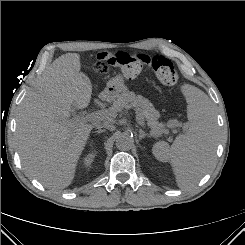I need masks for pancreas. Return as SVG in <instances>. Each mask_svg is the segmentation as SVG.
Returning a JSON list of instances; mask_svg holds the SVG:
<instances>
[{"label":"pancreas","instance_id":"1","mask_svg":"<svg viewBox=\"0 0 245 245\" xmlns=\"http://www.w3.org/2000/svg\"><path fill=\"white\" fill-rule=\"evenodd\" d=\"M131 108H135L144 117L148 127L151 129L152 136L158 137L168 132L164 124L158 122L159 113L155 110L153 104L148 99L136 95L134 92H124L118 97L113 106L107 110L110 113L108 121L114 122L118 112ZM167 126L170 128L180 127V123L176 120H170Z\"/></svg>","mask_w":245,"mask_h":245}]
</instances>
